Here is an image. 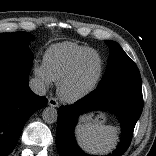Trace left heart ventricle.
Instances as JSON below:
<instances>
[{"label":"left heart ventricle","instance_id":"left-heart-ventricle-1","mask_svg":"<svg viewBox=\"0 0 156 156\" xmlns=\"http://www.w3.org/2000/svg\"><path fill=\"white\" fill-rule=\"evenodd\" d=\"M99 71V60L97 56L90 55L82 64L79 73L73 81L70 91L78 92L88 87L97 77Z\"/></svg>","mask_w":156,"mask_h":156}]
</instances>
